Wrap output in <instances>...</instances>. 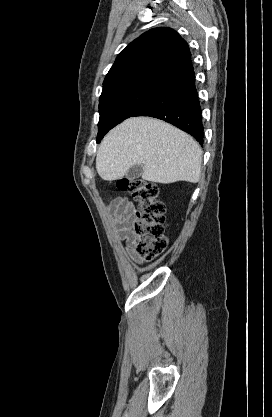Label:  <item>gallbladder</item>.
Listing matches in <instances>:
<instances>
[{"mask_svg":"<svg viewBox=\"0 0 272 417\" xmlns=\"http://www.w3.org/2000/svg\"><path fill=\"white\" fill-rule=\"evenodd\" d=\"M143 171H144V168H143L142 164L134 165L128 170V172L126 174V177L129 180H134V179L140 177L142 175Z\"/></svg>","mask_w":272,"mask_h":417,"instance_id":"obj_1","label":"gallbladder"}]
</instances>
